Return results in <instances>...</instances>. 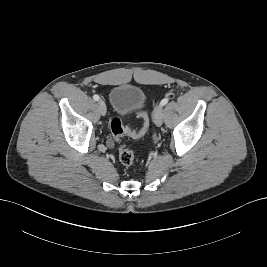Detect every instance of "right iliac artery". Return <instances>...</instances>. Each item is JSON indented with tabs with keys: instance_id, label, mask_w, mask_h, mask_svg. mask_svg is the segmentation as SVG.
<instances>
[{
	"instance_id": "1",
	"label": "right iliac artery",
	"mask_w": 267,
	"mask_h": 267,
	"mask_svg": "<svg viewBox=\"0 0 267 267\" xmlns=\"http://www.w3.org/2000/svg\"><path fill=\"white\" fill-rule=\"evenodd\" d=\"M93 99H94L95 101H98V100H99V96H98L97 94H95V95H93Z\"/></svg>"
}]
</instances>
